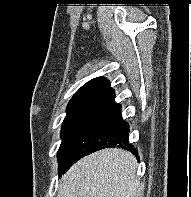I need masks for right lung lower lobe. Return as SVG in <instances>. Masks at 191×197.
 I'll return each mask as SVG.
<instances>
[{"instance_id":"98d812e1","label":"right lung lower lobe","mask_w":191,"mask_h":197,"mask_svg":"<svg viewBox=\"0 0 191 197\" xmlns=\"http://www.w3.org/2000/svg\"><path fill=\"white\" fill-rule=\"evenodd\" d=\"M129 125L122 120L121 105L115 102L114 92L92 108L82 124L70 156L62 168L64 174L77 160L103 148L137 149L129 144Z\"/></svg>"}]
</instances>
